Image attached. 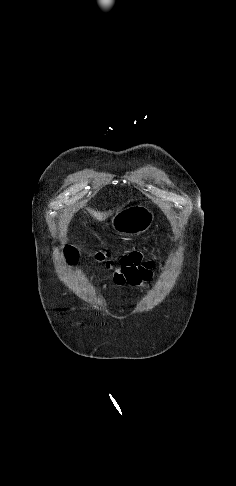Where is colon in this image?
<instances>
[{"instance_id": "colon-1", "label": "colon", "mask_w": 236, "mask_h": 486, "mask_svg": "<svg viewBox=\"0 0 236 486\" xmlns=\"http://www.w3.org/2000/svg\"><path fill=\"white\" fill-rule=\"evenodd\" d=\"M66 256L70 263H74L77 259V253L74 249L69 248L66 250ZM97 260L105 262L107 266H112L114 262L110 259V254L105 251H100L96 254Z\"/></svg>"}]
</instances>
